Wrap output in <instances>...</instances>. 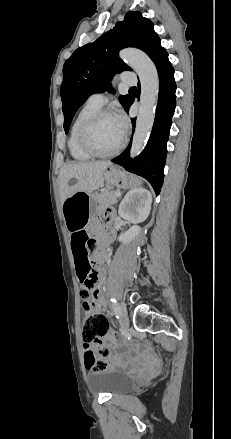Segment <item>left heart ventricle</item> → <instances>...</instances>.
Returning a JSON list of instances; mask_svg holds the SVG:
<instances>
[{"label":"left heart ventricle","mask_w":231,"mask_h":439,"mask_svg":"<svg viewBox=\"0 0 231 439\" xmlns=\"http://www.w3.org/2000/svg\"><path fill=\"white\" fill-rule=\"evenodd\" d=\"M122 138L123 136L118 129L114 116L101 118L91 133L92 143L101 152L115 149L120 144Z\"/></svg>","instance_id":"1"}]
</instances>
